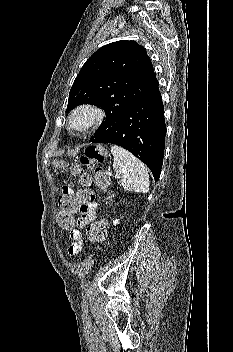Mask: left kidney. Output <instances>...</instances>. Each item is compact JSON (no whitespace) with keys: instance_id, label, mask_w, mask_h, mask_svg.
<instances>
[{"instance_id":"1","label":"left kidney","mask_w":233,"mask_h":352,"mask_svg":"<svg viewBox=\"0 0 233 352\" xmlns=\"http://www.w3.org/2000/svg\"><path fill=\"white\" fill-rule=\"evenodd\" d=\"M119 223V219H116L115 221H113L114 225H117Z\"/></svg>"}]
</instances>
